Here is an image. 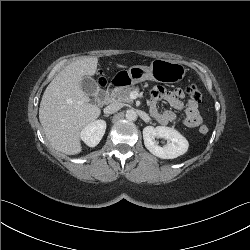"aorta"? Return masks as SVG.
Segmentation results:
<instances>
[{"instance_id": "762f6f07", "label": "aorta", "mask_w": 250, "mask_h": 250, "mask_svg": "<svg viewBox=\"0 0 250 250\" xmlns=\"http://www.w3.org/2000/svg\"><path fill=\"white\" fill-rule=\"evenodd\" d=\"M126 119L129 121H135L137 119V113L134 110H127Z\"/></svg>"}]
</instances>
